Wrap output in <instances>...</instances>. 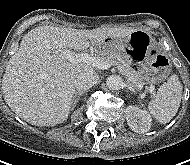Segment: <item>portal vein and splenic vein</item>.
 <instances>
[{
    "instance_id": "1",
    "label": "portal vein and splenic vein",
    "mask_w": 190,
    "mask_h": 165,
    "mask_svg": "<svg viewBox=\"0 0 190 165\" xmlns=\"http://www.w3.org/2000/svg\"><path fill=\"white\" fill-rule=\"evenodd\" d=\"M63 55L65 56V58L70 61L73 64H77V63H86L87 65H90L92 67L98 68V69H109L111 67L110 63H107L101 59L95 58L90 56L87 53H81V54H74L73 52H71L70 50H64L63 51ZM127 77H129V79L139 88L142 89L143 85L139 84L137 82H135V80L130 77L129 75H127ZM154 87L151 86L149 88L150 92H153Z\"/></svg>"
}]
</instances>
